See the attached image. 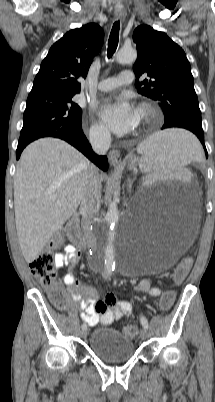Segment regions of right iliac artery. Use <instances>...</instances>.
Here are the masks:
<instances>
[{"instance_id": "1", "label": "right iliac artery", "mask_w": 215, "mask_h": 402, "mask_svg": "<svg viewBox=\"0 0 215 402\" xmlns=\"http://www.w3.org/2000/svg\"><path fill=\"white\" fill-rule=\"evenodd\" d=\"M82 329H85V328H87V325L84 323V324H82Z\"/></svg>"}]
</instances>
